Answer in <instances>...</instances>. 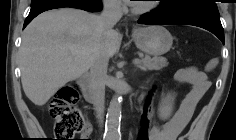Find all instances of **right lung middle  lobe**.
Here are the masks:
<instances>
[{
    "label": "right lung middle lobe",
    "mask_w": 236,
    "mask_h": 140,
    "mask_svg": "<svg viewBox=\"0 0 236 140\" xmlns=\"http://www.w3.org/2000/svg\"><path fill=\"white\" fill-rule=\"evenodd\" d=\"M53 1H58V0H32L31 2V7L40 5V4H44V3H48V2H53ZM80 2H83L85 4L91 5V6H99L101 4V2L99 0H77Z\"/></svg>",
    "instance_id": "obj_1"
}]
</instances>
